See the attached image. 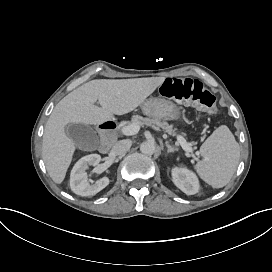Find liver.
<instances>
[{"mask_svg":"<svg viewBox=\"0 0 272 272\" xmlns=\"http://www.w3.org/2000/svg\"><path fill=\"white\" fill-rule=\"evenodd\" d=\"M165 77L96 79L70 92L55 106L44 130L42 156L52 180L63 182L75 144L65 133L69 123L102 124L113 115H123L138 107ZM99 101L101 107L94 105Z\"/></svg>","mask_w":272,"mask_h":272,"instance_id":"obj_1","label":"liver"}]
</instances>
